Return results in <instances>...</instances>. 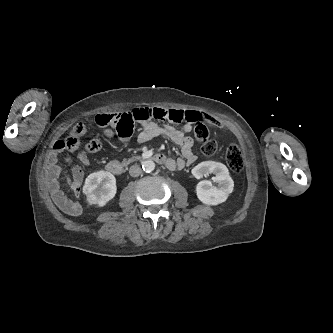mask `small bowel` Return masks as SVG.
I'll return each instance as SVG.
<instances>
[{
	"label": "small bowel",
	"mask_w": 333,
	"mask_h": 333,
	"mask_svg": "<svg viewBox=\"0 0 333 333\" xmlns=\"http://www.w3.org/2000/svg\"><path fill=\"white\" fill-rule=\"evenodd\" d=\"M127 114L130 122V130L124 134L118 135L121 140L127 139L131 136L133 126L135 123L141 124V132L138 134L139 142H147L157 136H166L172 142L180 147L182 154L181 158L172 159L167 158L165 166L170 169H183L186 165L192 164L196 161V156L192 151L194 144L193 139L187 134L191 132L193 124L203 122L210 125L211 128H217L225 131L227 126L222 123L220 119L215 120L208 114L196 111V110H183L177 108H160V107H141L135 108ZM166 120L172 124H182L181 129H176L171 125H161L159 121ZM112 129H106L105 135L108 137L114 136ZM56 156L51 155V163L48 167V185L52 195V198L56 205L62 210L67 211L69 214H74L76 209L73 207L72 202L66 196L62 189L60 182V166L56 162ZM79 160L84 166L89 165V160L85 155H80ZM82 173L80 169H76L74 173V179L78 180ZM75 194L78 195L80 188L78 183H74Z\"/></svg>",
	"instance_id": "c3829d8e"
}]
</instances>
